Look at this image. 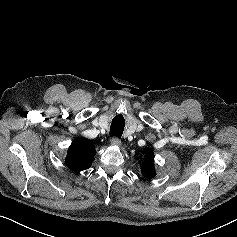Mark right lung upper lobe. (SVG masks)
<instances>
[{
	"label": "right lung upper lobe",
	"instance_id": "obj_1",
	"mask_svg": "<svg viewBox=\"0 0 237 237\" xmlns=\"http://www.w3.org/2000/svg\"><path fill=\"white\" fill-rule=\"evenodd\" d=\"M95 154L96 151L91 141L75 139L68 149L65 163L72 171H83L91 166Z\"/></svg>",
	"mask_w": 237,
	"mask_h": 237
}]
</instances>
